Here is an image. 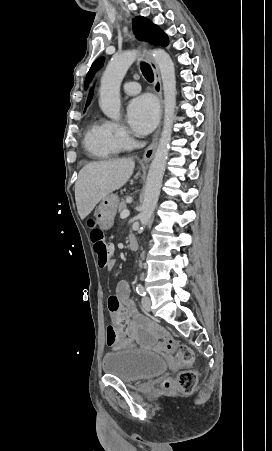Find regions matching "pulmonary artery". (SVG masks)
<instances>
[{
    "instance_id": "1",
    "label": "pulmonary artery",
    "mask_w": 272,
    "mask_h": 451,
    "mask_svg": "<svg viewBox=\"0 0 272 451\" xmlns=\"http://www.w3.org/2000/svg\"><path fill=\"white\" fill-rule=\"evenodd\" d=\"M124 92L128 95H136L140 92L141 87L136 82L125 83L123 86Z\"/></svg>"
}]
</instances>
